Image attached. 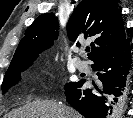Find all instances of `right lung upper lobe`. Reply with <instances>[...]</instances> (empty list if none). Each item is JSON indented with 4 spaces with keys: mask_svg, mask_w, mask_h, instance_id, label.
I'll return each mask as SVG.
<instances>
[{
    "mask_svg": "<svg viewBox=\"0 0 133 118\" xmlns=\"http://www.w3.org/2000/svg\"><path fill=\"white\" fill-rule=\"evenodd\" d=\"M57 29L58 21L53 13L38 16L27 28L9 68L33 62L43 50L53 44ZM67 31L73 40L78 36L95 39L91 43V53L88 54L91 60L126 39L120 10L114 0H82L69 20ZM77 46L80 44L77 43Z\"/></svg>",
    "mask_w": 133,
    "mask_h": 118,
    "instance_id": "obj_1",
    "label": "right lung upper lobe"
}]
</instances>
